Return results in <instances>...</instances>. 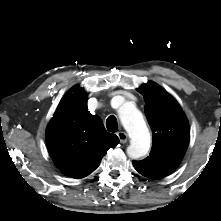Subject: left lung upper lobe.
<instances>
[{
	"label": "left lung upper lobe",
	"instance_id": "1",
	"mask_svg": "<svg viewBox=\"0 0 221 221\" xmlns=\"http://www.w3.org/2000/svg\"><path fill=\"white\" fill-rule=\"evenodd\" d=\"M138 91L144 97L153 143L150 155L133 161V165L143 176L160 179L182 161L189 142V124L177 101L161 86L148 82Z\"/></svg>",
	"mask_w": 221,
	"mask_h": 221
}]
</instances>
